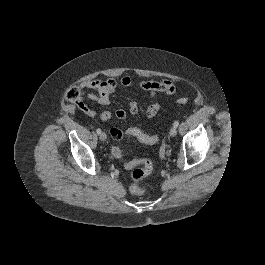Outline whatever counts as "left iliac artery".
<instances>
[{
	"label": "left iliac artery",
	"mask_w": 265,
	"mask_h": 265,
	"mask_svg": "<svg viewBox=\"0 0 265 265\" xmlns=\"http://www.w3.org/2000/svg\"><path fill=\"white\" fill-rule=\"evenodd\" d=\"M178 125H179V120H176V121L174 122L173 126L177 128Z\"/></svg>",
	"instance_id": "obj_1"
}]
</instances>
